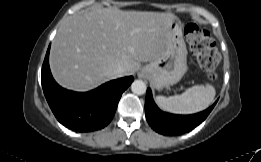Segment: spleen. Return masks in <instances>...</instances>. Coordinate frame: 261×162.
Here are the masks:
<instances>
[{"mask_svg":"<svg viewBox=\"0 0 261 162\" xmlns=\"http://www.w3.org/2000/svg\"><path fill=\"white\" fill-rule=\"evenodd\" d=\"M215 88L210 85H196L181 95L156 96L157 105L164 111L174 114H193L206 109L215 97Z\"/></svg>","mask_w":261,"mask_h":162,"instance_id":"3e777b00","label":"spleen"}]
</instances>
